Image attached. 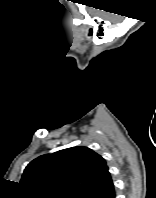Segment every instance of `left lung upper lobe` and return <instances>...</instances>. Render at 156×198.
<instances>
[{
	"mask_svg": "<svg viewBox=\"0 0 156 198\" xmlns=\"http://www.w3.org/2000/svg\"><path fill=\"white\" fill-rule=\"evenodd\" d=\"M110 180L105 159L77 146L34 159L20 183L28 198H91Z\"/></svg>",
	"mask_w": 156,
	"mask_h": 198,
	"instance_id": "1",
	"label": "left lung upper lobe"
}]
</instances>
